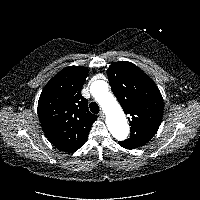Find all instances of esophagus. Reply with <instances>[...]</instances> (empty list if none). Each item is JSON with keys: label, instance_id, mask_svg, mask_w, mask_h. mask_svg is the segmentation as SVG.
I'll return each mask as SVG.
<instances>
[{"label": "esophagus", "instance_id": "1", "mask_svg": "<svg viewBox=\"0 0 200 200\" xmlns=\"http://www.w3.org/2000/svg\"><path fill=\"white\" fill-rule=\"evenodd\" d=\"M99 117H100L101 119H103V118L105 117V114H104L103 111H101V112L99 113Z\"/></svg>", "mask_w": 200, "mask_h": 200}]
</instances>
